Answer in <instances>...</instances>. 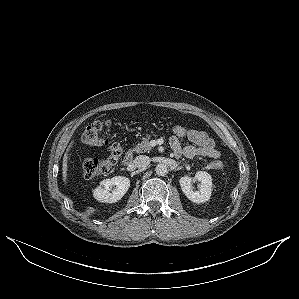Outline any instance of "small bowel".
<instances>
[{
  "label": "small bowel",
  "mask_w": 299,
  "mask_h": 299,
  "mask_svg": "<svg viewBox=\"0 0 299 299\" xmlns=\"http://www.w3.org/2000/svg\"><path fill=\"white\" fill-rule=\"evenodd\" d=\"M188 140L192 145L182 147L178 138L171 137L170 144L176 156L187 158L203 156L212 159L220 157V152L216 148L215 141L205 131L192 129Z\"/></svg>",
  "instance_id": "small-bowel-1"
}]
</instances>
